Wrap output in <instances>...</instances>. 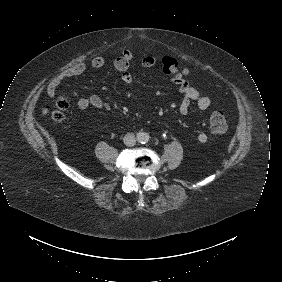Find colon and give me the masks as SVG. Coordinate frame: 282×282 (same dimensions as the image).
<instances>
[{"label":"colon","instance_id":"colon-1","mask_svg":"<svg viewBox=\"0 0 282 282\" xmlns=\"http://www.w3.org/2000/svg\"><path fill=\"white\" fill-rule=\"evenodd\" d=\"M163 70L165 73L174 74L177 81L187 76V71L179 67L177 61L173 58H165L163 60ZM69 108V103L65 100H58L56 109L50 112V116L54 122H61L64 118L65 111ZM210 130L213 133H223L227 130V120L221 112H214L210 117Z\"/></svg>","mask_w":282,"mask_h":282}]
</instances>
